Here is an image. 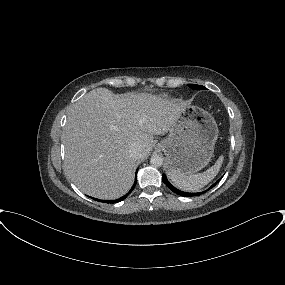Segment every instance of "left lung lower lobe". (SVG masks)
I'll list each match as a JSON object with an SVG mask.
<instances>
[{"label":"left lung lower lobe","mask_w":285,"mask_h":285,"mask_svg":"<svg viewBox=\"0 0 285 285\" xmlns=\"http://www.w3.org/2000/svg\"><path fill=\"white\" fill-rule=\"evenodd\" d=\"M162 180L174 193H176L178 195H181V196H184V197L196 196V195H200V194L203 193V192H201V193H188V192L180 191V190L176 189L173 185H171L169 183V181L167 180V178H166V176L164 174L162 175ZM218 182H219V180L216 183H218ZM216 183L213 184L210 188L214 187L216 185Z\"/></svg>","instance_id":"obj_1"}]
</instances>
